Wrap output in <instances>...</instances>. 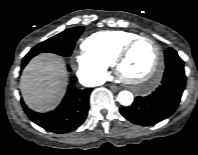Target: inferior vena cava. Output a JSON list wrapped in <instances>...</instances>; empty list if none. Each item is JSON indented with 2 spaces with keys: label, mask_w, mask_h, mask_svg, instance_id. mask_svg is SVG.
Instances as JSON below:
<instances>
[{
  "label": "inferior vena cava",
  "mask_w": 198,
  "mask_h": 155,
  "mask_svg": "<svg viewBox=\"0 0 198 155\" xmlns=\"http://www.w3.org/2000/svg\"><path fill=\"white\" fill-rule=\"evenodd\" d=\"M81 83L88 87L98 86L104 83V80L101 78L89 76L81 80Z\"/></svg>",
  "instance_id": "inferior-vena-cava-1"
}]
</instances>
